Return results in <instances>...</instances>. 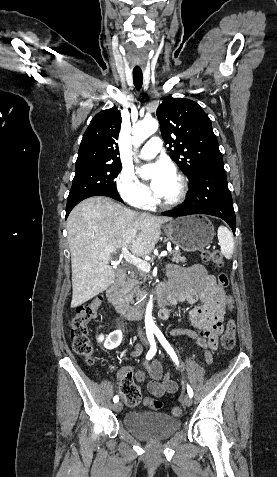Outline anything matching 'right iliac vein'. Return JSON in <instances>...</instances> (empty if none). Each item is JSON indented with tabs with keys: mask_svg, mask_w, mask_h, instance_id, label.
I'll list each match as a JSON object with an SVG mask.
<instances>
[{
	"mask_svg": "<svg viewBox=\"0 0 277 477\" xmlns=\"http://www.w3.org/2000/svg\"><path fill=\"white\" fill-rule=\"evenodd\" d=\"M113 408L116 412H120L123 408V405H122L121 402H117V403L114 404Z\"/></svg>",
	"mask_w": 277,
	"mask_h": 477,
	"instance_id": "1",
	"label": "right iliac vein"
}]
</instances>
